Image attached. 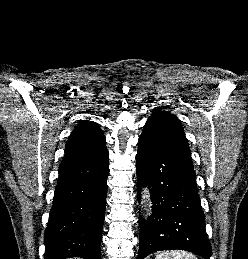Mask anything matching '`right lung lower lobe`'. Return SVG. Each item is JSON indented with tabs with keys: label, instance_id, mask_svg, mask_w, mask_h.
<instances>
[{
	"label": "right lung lower lobe",
	"instance_id": "98d812e1",
	"mask_svg": "<svg viewBox=\"0 0 248 259\" xmlns=\"http://www.w3.org/2000/svg\"><path fill=\"white\" fill-rule=\"evenodd\" d=\"M108 151L98 158L59 167L44 234V259H100L109 174Z\"/></svg>",
	"mask_w": 248,
	"mask_h": 259
}]
</instances>
